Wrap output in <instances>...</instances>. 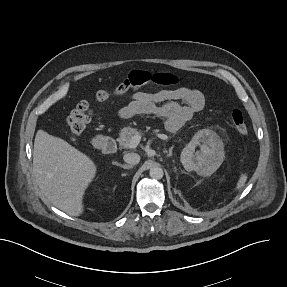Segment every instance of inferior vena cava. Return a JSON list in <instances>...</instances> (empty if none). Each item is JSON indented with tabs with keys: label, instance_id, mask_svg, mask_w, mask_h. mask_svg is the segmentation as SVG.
<instances>
[{
	"label": "inferior vena cava",
	"instance_id": "1",
	"mask_svg": "<svg viewBox=\"0 0 287 287\" xmlns=\"http://www.w3.org/2000/svg\"><path fill=\"white\" fill-rule=\"evenodd\" d=\"M126 163L135 165L140 162V156L137 153H127L123 156Z\"/></svg>",
	"mask_w": 287,
	"mask_h": 287
}]
</instances>
